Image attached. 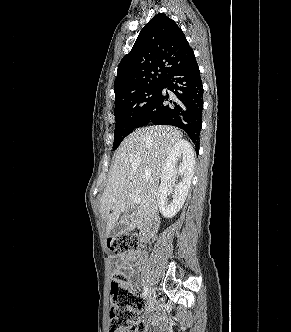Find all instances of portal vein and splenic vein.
Here are the masks:
<instances>
[{
  "label": "portal vein and splenic vein",
  "instance_id": "18ae733b",
  "mask_svg": "<svg viewBox=\"0 0 291 332\" xmlns=\"http://www.w3.org/2000/svg\"><path fill=\"white\" fill-rule=\"evenodd\" d=\"M129 197H130V199L132 200V202H133L134 204H138V203L141 202V198H140L139 195H136V194H129Z\"/></svg>",
  "mask_w": 291,
  "mask_h": 332
}]
</instances>
